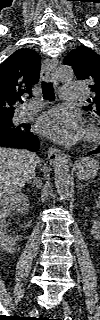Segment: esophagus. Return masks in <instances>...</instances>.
Listing matches in <instances>:
<instances>
[{
    "mask_svg": "<svg viewBox=\"0 0 100 320\" xmlns=\"http://www.w3.org/2000/svg\"><path fill=\"white\" fill-rule=\"evenodd\" d=\"M58 60L57 59H51L47 58L44 61L43 67H42V78L45 80H51L54 86H58V81L55 77V70L57 66ZM48 160L51 164H58L59 162H69L70 156L63 154L59 149L49 147L48 151Z\"/></svg>",
    "mask_w": 100,
    "mask_h": 320,
    "instance_id": "1",
    "label": "esophagus"
}]
</instances>
